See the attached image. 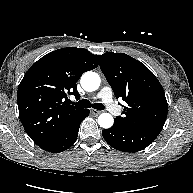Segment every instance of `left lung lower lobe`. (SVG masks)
Masks as SVG:
<instances>
[{
	"instance_id": "0a47b994",
	"label": "left lung lower lobe",
	"mask_w": 193,
	"mask_h": 193,
	"mask_svg": "<svg viewBox=\"0 0 193 193\" xmlns=\"http://www.w3.org/2000/svg\"><path fill=\"white\" fill-rule=\"evenodd\" d=\"M162 129L127 130L118 125L104 129L102 135L113 148L124 152H137L149 146Z\"/></svg>"
}]
</instances>
